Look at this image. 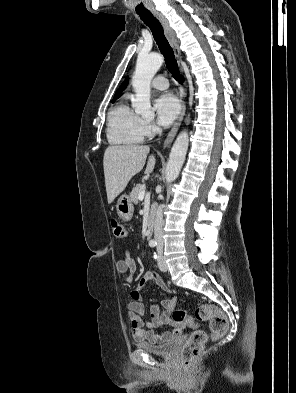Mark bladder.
<instances>
[{"label": "bladder", "instance_id": "31cf9c89", "mask_svg": "<svg viewBox=\"0 0 296 393\" xmlns=\"http://www.w3.org/2000/svg\"><path fill=\"white\" fill-rule=\"evenodd\" d=\"M177 346V341L174 339H171L159 346L148 343V342H138L136 344V348L158 356H164L168 357L171 356Z\"/></svg>", "mask_w": 296, "mask_h": 393}]
</instances>
